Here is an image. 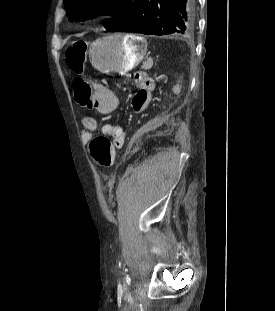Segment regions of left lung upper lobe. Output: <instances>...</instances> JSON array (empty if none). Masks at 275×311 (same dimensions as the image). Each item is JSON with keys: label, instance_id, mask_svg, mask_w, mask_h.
I'll list each match as a JSON object with an SVG mask.
<instances>
[{"label": "left lung upper lobe", "instance_id": "1", "mask_svg": "<svg viewBox=\"0 0 275 311\" xmlns=\"http://www.w3.org/2000/svg\"><path fill=\"white\" fill-rule=\"evenodd\" d=\"M142 0H64L69 21L86 20L97 15H112L105 22L107 31H117L136 16Z\"/></svg>", "mask_w": 275, "mask_h": 311}]
</instances>
